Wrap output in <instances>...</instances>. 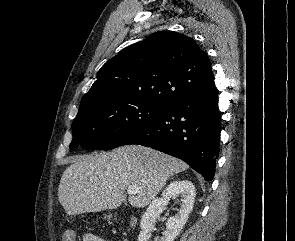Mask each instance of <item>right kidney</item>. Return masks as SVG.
I'll use <instances>...</instances> for the list:
<instances>
[{
	"label": "right kidney",
	"mask_w": 295,
	"mask_h": 241,
	"mask_svg": "<svg viewBox=\"0 0 295 241\" xmlns=\"http://www.w3.org/2000/svg\"><path fill=\"white\" fill-rule=\"evenodd\" d=\"M195 196V187L190 181L176 180L171 182L165 190H163L161 197L154 199L143 214L140 222L141 232L138 241H150L155 220L171 199L179 197L180 209L178 213L167 220L166 230L163 232V236L156 238V241H174L192 211Z\"/></svg>",
	"instance_id": "ca27d5eb"
}]
</instances>
